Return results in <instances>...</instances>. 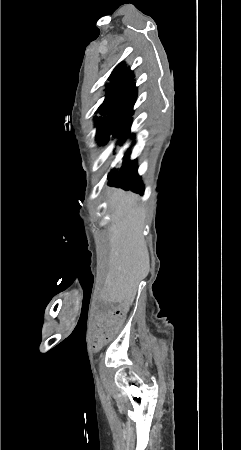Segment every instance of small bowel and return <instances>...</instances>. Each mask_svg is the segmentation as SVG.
<instances>
[{
  "instance_id": "small-bowel-1",
  "label": "small bowel",
  "mask_w": 241,
  "mask_h": 450,
  "mask_svg": "<svg viewBox=\"0 0 241 450\" xmlns=\"http://www.w3.org/2000/svg\"><path fill=\"white\" fill-rule=\"evenodd\" d=\"M119 308L117 310H112L111 317L112 319H126L127 317V311H128V302L126 300H121L119 302ZM110 316V313L107 310H99L97 312V317L99 319H107ZM95 329L93 330V333L95 336L93 337V340L91 341V346L93 348H99L101 344L104 342L111 341L114 338V335L117 334V328H119L120 323L117 320H114L110 323V326L112 328H103L107 324L101 320H98L95 322ZM105 334V337L103 336Z\"/></svg>"
}]
</instances>
